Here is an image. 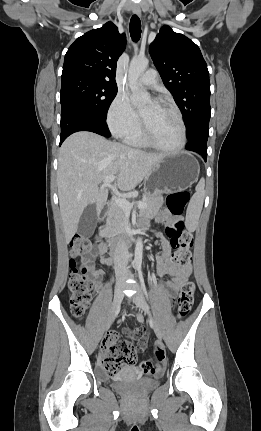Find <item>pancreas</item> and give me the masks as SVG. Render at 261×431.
<instances>
[{
  "mask_svg": "<svg viewBox=\"0 0 261 431\" xmlns=\"http://www.w3.org/2000/svg\"><path fill=\"white\" fill-rule=\"evenodd\" d=\"M141 202L146 203V207L140 210V214L149 216L159 211L164 204V199L160 194L144 195ZM127 218V211L113 203L107 212V224L104 233L107 236H112L114 233L122 232Z\"/></svg>",
  "mask_w": 261,
  "mask_h": 431,
  "instance_id": "1",
  "label": "pancreas"
}]
</instances>
